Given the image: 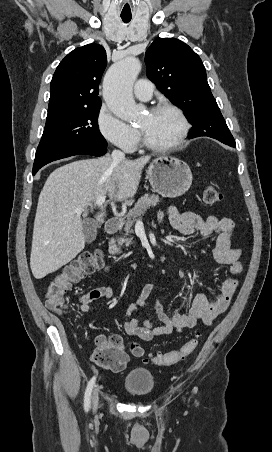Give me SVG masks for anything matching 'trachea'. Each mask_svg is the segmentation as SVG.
Masks as SVG:
<instances>
[{"mask_svg":"<svg viewBox=\"0 0 272 452\" xmlns=\"http://www.w3.org/2000/svg\"><path fill=\"white\" fill-rule=\"evenodd\" d=\"M121 19L124 23H128L131 21V17H125V16H121Z\"/></svg>","mask_w":272,"mask_h":452,"instance_id":"obj_1","label":"trachea"}]
</instances>
